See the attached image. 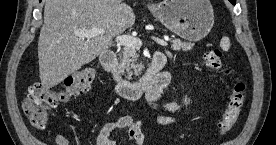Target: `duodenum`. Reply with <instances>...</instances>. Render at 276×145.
I'll list each match as a JSON object with an SVG mask.
<instances>
[{"instance_id":"1","label":"duodenum","mask_w":276,"mask_h":145,"mask_svg":"<svg viewBox=\"0 0 276 145\" xmlns=\"http://www.w3.org/2000/svg\"><path fill=\"white\" fill-rule=\"evenodd\" d=\"M104 70L112 74L118 95L127 100H137L144 93L162 92L170 80L168 72L163 71L166 57L161 52H156L138 81L130 82L123 78L118 65L117 55L113 50H106L100 56Z\"/></svg>"}]
</instances>
